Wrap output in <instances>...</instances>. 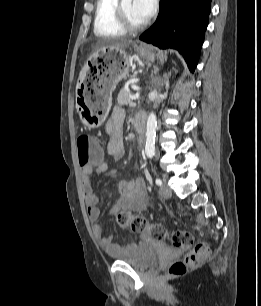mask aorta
<instances>
[{
    "mask_svg": "<svg viewBox=\"0 0 261 306\" xmlns=\"http://www.w3.org/2000/svg\"><path fill=\"white\" fill-rule=\"evenodd\" d=\"M157 120L154 113H150L147 119L146 145L145 152L147 156H153L155 151V135Z\"/></svg>",
    "mask_w": 261,
    "mask_h": 306,
    "instance_id": "762f6f07",
    "label": "aorta"
}]
</instances>
